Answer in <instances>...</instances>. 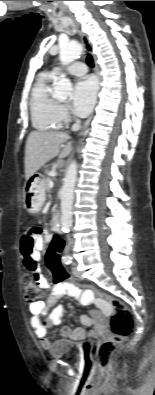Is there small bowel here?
Returning a JSON list of instances; mask_svg holds the SVG:
<instances>
[{
    "instance_id": "c3829d8e",
    "label": "small bowel",
    "mask_w": 155,
    "mask_h": 395,
    "mask_svg": "<svg viewBox=\"0 0 155 395\" xmlns=\"http://www.w3.org/2000/svg\"><path fill=\"white\" fill-rule=\"evenodd\" d=\"M43 247L41 234L34 229L22 236L20 241V252L23 257L24 265L38 281L43 289H49L50 294L44 301H36L30 303L29 310L32 314L30 318V325L33 328L36 336L40 340V344L44 349L52 346L51 340L47 338V333L50 328L61 323L63 317V307L57 305L59 298L63 295H71L76 297L83 305H88L92 302L98 303V311H102L103 315H112L113 304H109L108 300H103L101 296H94V291L90 289H80L75 283H63L62 288L51 284L42 274L41 268L38 264L40 259V251ZM28 260L31 262L29 263ZM48 318L43 320L42 316L49 310ZM85 326L93 327L92 334H100L103 331L102 324L93 316H83L80 319ZM62 338H69L73 340H83L87 336V332L83 328L72 329L69 326H64L60 330Z\"/></svg>"
}]
</instances>
